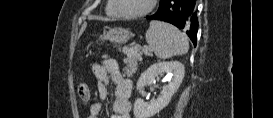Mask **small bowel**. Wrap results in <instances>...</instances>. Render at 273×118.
<instances>
[{
    "label": "small bowel",
    "instance_id": "small-bowel-1",
    "mask_svg": "<svg viewBox=\"0 0 273 118\" xmlns=\"http://www.w3.org/2000/svg\"><path fill=\"white\" fill-rule=\"evenodd\" d=\"M93 73L97 79V91L100 99L105 100L108 97V85L114 86L115 100L112 118H132V81L122 74L118 63L112 59L95 63ZM81 99L85 102L90 100L89 89L86 97ZM101 110V103H92L89 118H98Z\"/></svg>",
    "mask_w": 273,
    "mask_h": 118
}]
</instances>
